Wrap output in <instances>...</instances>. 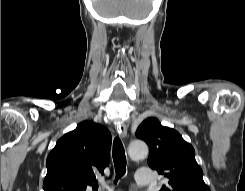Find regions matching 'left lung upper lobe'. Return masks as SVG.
Segmentation results:
<instances>
[{
	"mask_svg": "<svg viewBox=\"0 0 245 191\" xmlns=\"http://www.w3.org/2000/svg\"><path fill=\"white\" fill-rule=\"evenodd\" d=\"M149 148L148 165L168 179L160 191H210L195 150L176 130L162 126L158 119L144 120L136 131Z\"/></svg>",
	"mask_w": 245,
	"mask_h": 191,
	"instance_id": "5c2ea615",
	"label": "left lung upper lobe"
}]
</instances>
